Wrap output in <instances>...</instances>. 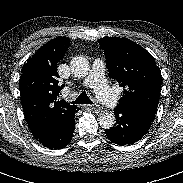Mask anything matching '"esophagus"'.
I'll return each instance as SVG.
<instances>
[{"mask_svg": "<svg viewBox=\"0 0 183 183\" xmlns=\"http://www.w3.org/2000/svg\"><path fill=\"white\" fill-rule=\"evenodd\" d=\"M84 108L87 110H92L95 113H101L103 111V108L100 107L99 105L87 104V105H84Z\"/></svg>", "mask_w": 183, "mask_h": 183, "instance_id": "1", "label": "esophagus"}]
</instances>
